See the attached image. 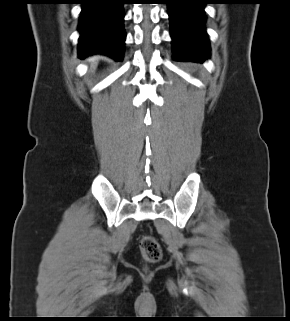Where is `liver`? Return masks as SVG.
I'll use <instances>...</instances> for the list:
<instances>
[{"label": "liver", "mask_w": 290, "mask_h": 321, "mask_svg": "<svg viewBox=\"0 0 290 321\" xmlns=\"http://www.w3.org/2000/svg\"><path fill=\"white\" fill-rule=\"evenodd\" d=\"M98 65V58L97 57H93L90 59V66L92 70H95L96 67Z\"/></svg>", "instance_id": "liver-1"}]
</instances>
